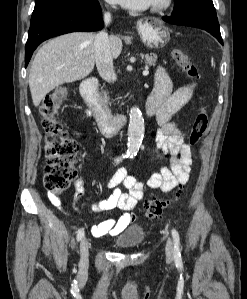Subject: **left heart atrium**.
<instances>
[{"label":"left heart atrium","mask_w":247,"mask_h":299,"mask_svg":"<svg viewBox=\"0 0 247 299\" xmlns=\"http://www.w3.org/2000/svg\"><path fill=\"white\" fill-rule=\"evenodd\" d=\"M108 1L114 4H119L129 9H144L153 2V0H108Z\"/></svg>","instance_id":"obj_1"}]
</instances>
